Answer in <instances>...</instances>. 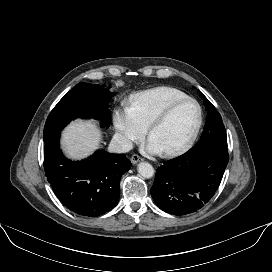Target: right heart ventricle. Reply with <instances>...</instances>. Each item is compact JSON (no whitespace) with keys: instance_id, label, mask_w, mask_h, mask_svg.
<instances>
[{"instance_id":"e07e8e85","label":"right heart ventricle","mask_w":272,"mask_h":272,"mask_svg":"<svg viewBox=\"0 0 272 272\" xmlns=\"http://www.w3.org/2000/svg\"><path fill=\"white\" fill-rule=\"evenodd\" d=\"M184 97L187 95L176 88L159 86L133 94L129 99V108L147 128L153 118L169 103Z\"/></svg>"}]
</instances>
